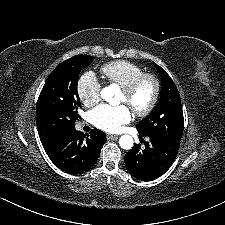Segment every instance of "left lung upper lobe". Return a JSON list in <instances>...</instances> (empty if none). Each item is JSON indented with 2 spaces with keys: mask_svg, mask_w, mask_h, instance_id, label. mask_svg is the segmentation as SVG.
Instances as JSON below:
<instances>
[{
  "mask_svg": "<svg viewBox=\"0 0 225 225\" xmlns=\"http://www.w3.org/2000/svg\"><path fill=\"white\" fill-rule=\"evenodd\" d=\"M154 65L162 76L160 99L155 109L136 128L140 134L169 135L181 140L184 119L179 92L167 72L156 63Z\"/></svg>",
  "mask_w": 225,
  "mask_h": 225,
  "instance_id": "1",
  "label": "left lung upper lobe"
}]
</instances>
